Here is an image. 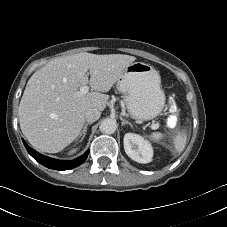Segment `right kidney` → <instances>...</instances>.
Segmentation results:
<instances>
[{
	"label": "right kidney",
	"instance_id": "ca27d5eb",
	"mask_svg": "<svg viewBox=\"0 0 227 227\" xmlns=\"http://www.w3.org/2000/svg\"><path fill=\"white\" fill-rule=\"evenodd\" d=\"M76 150H77V149H72V150H70V152H69V153H71V154H72V153L76 152Z\"/></svg>",
	"mask_w": 227,
	"mask_h": 227
}]
</instances>
